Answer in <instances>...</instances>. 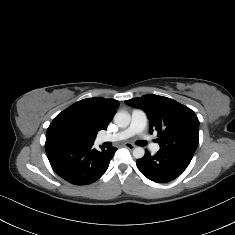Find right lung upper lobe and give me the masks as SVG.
I'll use <instances>...</instances> for the list:
<instances>
[{
  "label": "right lung upper lobe",
  "mask_w": 235,
  "mask_h": 235,
  "mask_svg": "<svg viewBox=\"0 0 235 235\" xmlns=\"http://www.w3.org/2000/svg\"><path fill=\"white\" fill-rule=\"evenodd\" d=\"M118 107L119 102L114 99L95 97L80 100L54 118L47 130L46 142L62 138V132L68 126L95 138L98 131L107 129Z\"/></svg>",
  "instance_id": "right-lung-upper-lobe-1"
}]
</instances>
